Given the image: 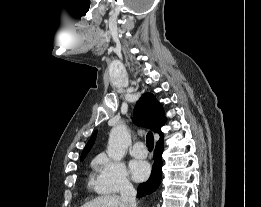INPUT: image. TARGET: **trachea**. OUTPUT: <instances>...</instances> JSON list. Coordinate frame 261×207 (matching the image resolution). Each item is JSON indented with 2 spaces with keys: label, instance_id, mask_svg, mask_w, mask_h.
<instances>
[{
  "label": "trachea",
  "instance_id": "trachea-1",
  "mask_svg": "<svg viewBox=\"0 0 261 207\" xmlns=\"http://www.w3.org/2000/svg\"><path fill=\"white\" fill-rule=\"evenodd\" d=\"M146 144H147L148 149L150 151H152L153 147H154V137L151 132H149L146 136Z\"/></svg>",
  "mask_w": 261,
  "mask_h": 207
}]
</instances>
